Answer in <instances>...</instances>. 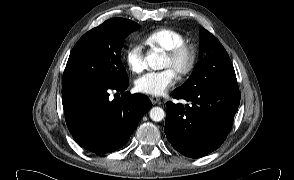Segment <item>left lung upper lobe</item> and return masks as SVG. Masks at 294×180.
<instances>
[{"mask_svg": "<svg viewBox=\"0 0 294 180\" xmlns=\"http://www.w3.org/2000/svg\"><path fill=\"white\" fill-rule=\"evenodd\" d=\"M200 48L203 56L188 80L177 89L184 92L211 88L238 89L235 71L228 53L219 40L202 28Z\"/></svg>", "mask_w": 294, "mask_h": 180, "instance_id": "obj_1", "label": "left lung upper lobe"}]
</instances>
